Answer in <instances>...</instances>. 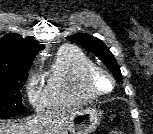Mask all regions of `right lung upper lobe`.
Returning <instances> with one entry per match:
<instances>
[{
    "instance_id": "obj_1",
    "label": "right lung upper lobe",
    "mask_w": 153,
    "mask_h": 134,
    "mask_svg": "<svg viewBox=\"0 0 153 134\" xmlns=\"http://www.w3.org/2000/svg\"><path fill=\"white\" fill-rule=\"evenodd\" d=\"M43 44L19 34H8L0 39V73L28 72Z\"/></svg>"
}]
</instances>
